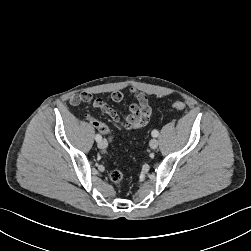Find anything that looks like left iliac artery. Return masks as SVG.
Returning <instances> with one entry per match:
<instances>
[{
    "mask_svg": "<svg viewBox=\"0 0 251 251\" xmlns=\"http://www.w3.org/2000/svg\"><path fill=\"white\" fill-rule=\"evenodd\" d=\"M151 134L153 137H158L159 132L157 130H153Z\"/></svg>",
    "mask_w": 251,
    "mask_h": 251,
    "instance_id": "left-iliac-artery-1",
    "label": "left iliac artery"
}]
</instances>
